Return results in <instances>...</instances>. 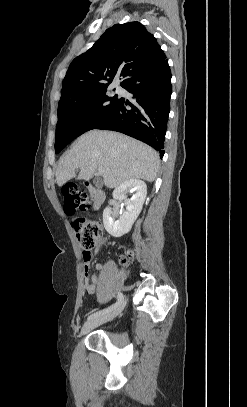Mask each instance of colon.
Segmentation results:
<instances>
[{
	"instance_id": "1",
	"label": "colon",
	"mask_w": 247,
	"mask_h": 407,
	"mask_svg": "<svg viewBox=\"0 0 247 407\" xmlns=\"http://www.w3.org/2000/svg\"><path fill=\"white\" fill-rule=\"evenodd\" d=\"M63 208L67 215H74L77 211H84L90 207L88 195L73 183L66 184L61 189ZM72 226L78 241L83 249V254L89 256L102 234V226L99 222L75 218ZM128 257H123L121 262L127 264Z\"/></svg>"
}]
</instances>
